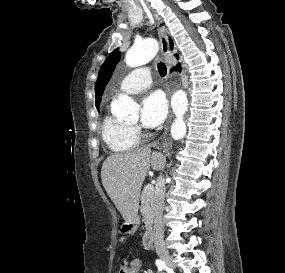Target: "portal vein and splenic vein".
Returning a JSON list of instances; mask_svg holds the SVG:
<instances>
[{"label": "portal vein and splenic vein", "instance_id": "18ae733b", "mask_svg": "<svg viewBox=\"0 0 285 273\" xmlns=\"http://www.w3.org/2000/svg\"><path fill=\"white\" fill-rule=\"evenodd\" d=\"M153 186H151V185H148V186H146V189H151Z\"/></svg>", "mask_w": 285, "mask_h": 273}]
</instances>
